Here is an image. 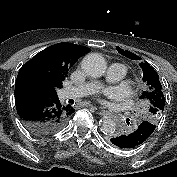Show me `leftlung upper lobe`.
I'll return each mask as SVG.
<instances>
[{"instance_id":"left-lung-upper-lobe-1","label":"left lung upper lobe","mask_w":177,"mask_h":177,"mask_svg":"<svg viewBox=\"0 0 177 177\" xmlns=\"http://www.w3.org/2000/svg\"><path fill=\"white\" fill-rule=\"evenodd\" d=\"M128 52L129 51L120 50V53L126 57H129ZM140 67L143 71V82L145 87V90L140 96V99L145 104L142 118L153 124H157L165 106L163 88L158 73L148 62H141Z\"/></svg>"}]
</instances>
